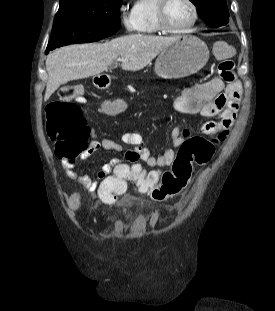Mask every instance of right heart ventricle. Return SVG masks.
I'll list each match as a JSON object with an SVG mask.
<instances>
[{
    "label": "right heart ventricle",
    "instance_id": "1",
    "mask_svg": "<svg viewBox=\"0 0 275 311\" xmlns=\"http://www.w3.org/2000/svg\"><path fill=\"white\" fill-rule=\"evenodd\" d=\"M158 0H136L132 14L138 23V32L143 35L160 33L157 24L156 7Z\"/></svg>",
    "mask_w": 275,
    "mask_h": 311
}]
</instances>
